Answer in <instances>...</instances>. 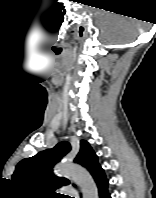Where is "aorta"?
Masks as SVG:
<instances>
[{"label":"aorta","mask_w":156,"mask_h":198,"mask_svg":"<svg viewBox=\"0 0 156 198\" xmlns=\"http://www.w3.org/2000/svg\"><path fill=\"white\" fill-rule=\"evenodd\" d=\"M57 175L70 177L81 189L83 198H99L98 188L90 173L75 164L60 163L55 166Z\"/></svg>","instance_id":"obj_1"}]
</instances>
